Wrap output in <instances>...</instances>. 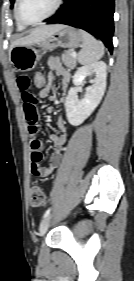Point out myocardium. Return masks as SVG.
Masks as SVG:
<instances>
[{"label": "myocardium", "mask_w": 134, "mask_h": 281, "mask_svg": "<svg viewBox=\"0 0 134 281\" xmlns=\"http://www.w3.org/2000/svg\"><path fill=\"white\" fill-rule=\"evenodd\" d=\"M63 1L64 0H57L54 8L46 16L42 17L41 19L36 20V21H26L21 16V13H20L21 0H16V2H15V17L24 26H35V25L41 24L42 22H44V21L48 20L49 18H51L52 16H54L59 11V9L61 8V6L63 4Z\"/></svg>", "instance_id": "1"}]
</instances>
